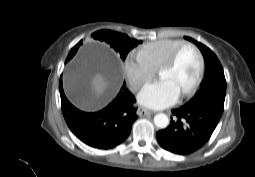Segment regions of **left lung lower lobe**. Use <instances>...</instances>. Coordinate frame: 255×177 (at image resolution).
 Instances as JSON below:
<instances>
[{
    "mask_svg": "<svg viewBox=\"0 0 255 177\" xmlns=\"http://www.w3.org/2000/svg\"><path fill=\"white\" fill-rule=\"evenodd\" d=\"M222 112L213 106L174 109L170 125L157 132V141L162 148L174 154L193 153L210 139Z\"/></svg>",
    "mask_w": 255,
    "mask_h": 177,
    "instance_id": "obj_1",
    "label": "left lung lower lobe"
}]
</instances>
